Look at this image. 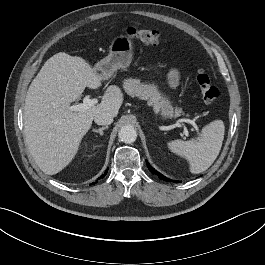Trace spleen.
Returning <instances> with one entry per match:
<instances>
[{
    "instance_id": "obj_1",
    "label": "spleen",
    "mask_w": 265,
    "mask_h": 265,
    "mask_svg": "<svg viewBox=\"0 0 265 265\" xmlns=\"http://www.w3.org/2000/svg\"><path fill=\"white\" fill-rule=\"evenodd\" d=\"M224 131L223 121L215 120L202 129L199 140H174L168 143V148L186 158L190 164V172L198 174L207 170L219 155Z\"/></svg>"
}]
</instances>
